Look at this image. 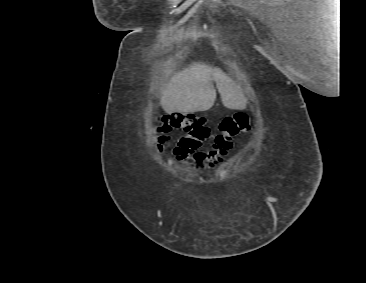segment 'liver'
I'll list each match as a JSON object with an SVG mask.
<instances>
[{
  "instance_id": "obj_1",
  "label": "liver",
  "mask_w": 366,
  "mask_h": 283,
  "mask_svg": "<svg viewBox=\"0 0 366 283\" xmlns=\"http://www.w3.org/2000/svg\"><path fill=\"white\" fill-rule=\"evenodd\" d=\"M212 81L216 82L226 108H246L247 99L240 87L220 69L205 63H193L176 73L163 90L160 102L164 111L172 114L209 110L216 100V90Z\"/></svg>"
}]
</instances>
